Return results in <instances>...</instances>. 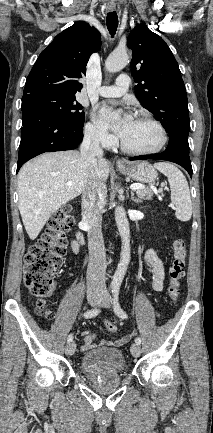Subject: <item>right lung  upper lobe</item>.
Segmentation results:
<instances>
[{
  "label": "right lung upper lobe",
  "instance_id": "cb5924a9",
  "mask_svg": "<svg viewBox=\"0 0 213 433\" xmlns=\"http://www.w3.org/2000/svg\"><path fill=\"white\" fill-rule=\"evenodd\" d=\"M101 47V35L85 22H77L58 34L41 52L28 75L24 95L52 92L74 95L81 91L78 82L86 72L93 52Z\"/></svg>",
  "mask_w": 213,
  "mask_h": 433
}]
</instances>
